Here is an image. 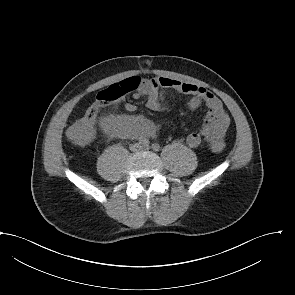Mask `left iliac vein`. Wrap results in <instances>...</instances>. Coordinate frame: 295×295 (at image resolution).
Listing matches in <instances>:
<instances>
[{
  "label": "left iliac vein",
  "instance_id": "1",
  "mask_svg": "<svg viewBox=\"0 0 295 295\" xmlns=\"http://www.w3.org/2000/svg\"><path fill=\"white\" fill-rule=\"evenodd\" d=\"M149 149H150L149 146H145V147L143 148V150H146V151H148Z\"/></svg>",
  "mask_w": 295,
  "mask_h": 295
}]
</instances>
